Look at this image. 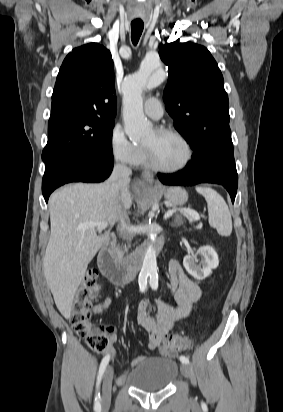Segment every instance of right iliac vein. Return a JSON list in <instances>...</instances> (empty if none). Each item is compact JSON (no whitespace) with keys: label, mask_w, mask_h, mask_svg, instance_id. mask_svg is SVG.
<instances>
[{"label":"right iliac vein","mask_w":283,"mask_h":412,"mask_svg":"<svg viewBox=\"0 0 283 412\" xmlns=\"http://www.w3.org/2000/svg\"><path fill=\"white\" fill-rule=\"evenodd\" d=\"M113 368L108 366L104 377L102 385V408L106 410L109 408L111 403V389H112V380H113Z\"/></svg>","instance_id":"1"}]
</instances>
